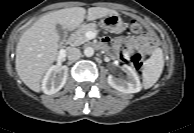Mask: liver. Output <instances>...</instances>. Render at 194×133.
I'll list each match as a JSON object with an SVG mask.
<instances>
[{"label": "liver", "instance_id": "1", "mask_svg": "<svg viewBox=\"0 0 194 133\" xmlns=\"http://www.w3.org/2000/svg\"><path fill=\"white\" fill-rule=\"evenodd\" d=\"M87 13L88 21L118 14L103 7H91ZM85 14L86 10L82 7L49 12L22 34L16 46L15 67L20 79L31 90L41 91L42 78L57 59L60 37L56 26L72 31L81 26Z\"/></svg>", "mask_w": 194, "mask_h": 133}]
</instances>
